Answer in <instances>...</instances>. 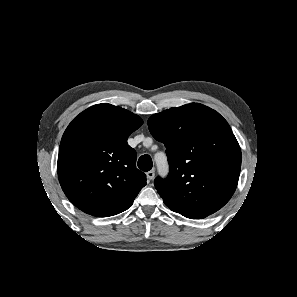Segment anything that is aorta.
<instances>
[{"mask_svg": "<svg viewBox=\"0 0 297 297\" xmlns=\"http://www.w3.org/2000/svg\"><path fill=\"white\" fill-rule=\"evenodd\" d=\"M155 162L157 165V168L160 172H163L167 169V164H166V156L163 153H158L155 155Z\"/></svg>", "mask_w": 297, "mask_h": 297, "instance_id": "762f6f07", "label": "aorta"}]
</instances>
